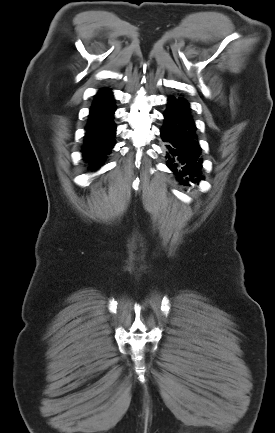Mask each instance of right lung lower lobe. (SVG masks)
Segmentation results:
<instances>
[{
  "instance_id": "1",
  "label": "right lung lower lobe",
  "mask_w": 275,
  "mask_h": 433,
  "mask_svg": "<svg viewBox=\"0 0 275 433\" xmlns=\"http://www.w3.org/2000/svg\"><path fill=\"white\" fill-rule=\"evenodd\" d=\"M116 107L109 89H103L95 96L85 128L83 158L92 171L97 170L114 147L116 126L113 114Z\"/></svg>"
}]
</instances>
